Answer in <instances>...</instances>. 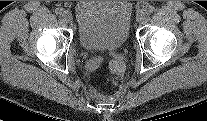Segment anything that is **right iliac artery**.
Returning <instances> with one entry per match:
<instances>
[{"instance_id":"82829eb1","label":"right iliac artery","mask_w":207,"mask_h":121,"mask_svg":"<svg viewBox=\"0 0 207 121\" xmlns=\"http://www.w3.org/2000/svg\"><path fill=\"white\" fill-rule=\"evenodd\" d=\"M55 13H56V15H58V16H63V14H64V9L61 8V7H58V8H56Z\"/></svg>"}]
</instances>
